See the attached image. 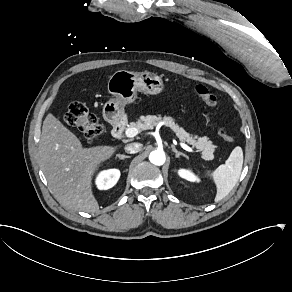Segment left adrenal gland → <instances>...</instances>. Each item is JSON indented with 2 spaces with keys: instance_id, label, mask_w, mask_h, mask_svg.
Instances as JSON below:
<instances>
[{
  "instance_id": "a2214340",
  "label": "left adrenal gland",
  "mask_w": 292,
  "mask_h": 292,
  "mask_svg": "<svg viewBox=\"0 0 292 292\" xmlns=\"http://www.w3.org/2000/svg\"><path fill=\"white\" fill-rule=\"evenodd\" d=\"M172 149H173V152L176 153V158L183 157L188 160V157L185 154L178 152L174 145H172Z\"/></svg>"
}]
</instances>
